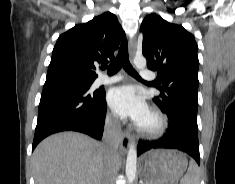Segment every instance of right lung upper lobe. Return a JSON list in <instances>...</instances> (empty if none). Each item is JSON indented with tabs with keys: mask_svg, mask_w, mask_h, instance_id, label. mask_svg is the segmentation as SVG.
Masks as SVG:
<instances>
[{
	"mask_svg": "<svg viewBox=\"0 0 235 184\" xmlns=\"http://www.w3.org/2000/svg\"><path fill=\"white\" fill-rule=\"evenodd\" d=\"M123 31L118 19L105 12L61 34L54 46L46 82L68 77L95 80L98 65L114 59Z\"/></svg>",
	"mask_w": 235,
	"mask_h": 184,
	"instance_id": "obj_1",
	"label": "right lung upper lobe"
}]
</instances>
